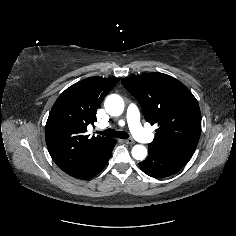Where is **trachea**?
<instances>
[{"label": "trachea", "mask_w": 236, "mask_h": 236, "mask_svg": "<svg viewBox=\"0 0 236 236\" xmlns=\"http://www.w3.org/2000/svg\"><path fill=\"white\" fill-rule=\"evenodd\" d=\"M98 134L107 136V137H117L121 139L129 138V134L124 131H116L114 129H107L105 131H98Z\"/></svg>", "instance_id": "1"}]
</instances>
